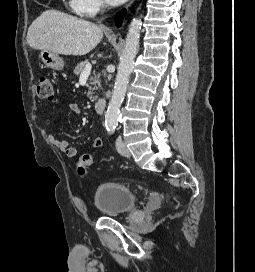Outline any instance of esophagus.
I'll return each instance as SVG.
<instances>
[{"label": "esophagus", "mask_w": 255, "mask_h": 272, "mask_svg": "<svg viewBox=\"0 0 255 272\" xmlns=\"http://www.w3.org/2000/svg\"><path fill=\"white\" fill-rule=\"evenodd\" d=\"M133 1H134V0H131L130 4H132V3H133ZM130 4H129V5H127V8L130 6Z\"/></svg>", "instance_id": "34e87169"}]
</instances>
